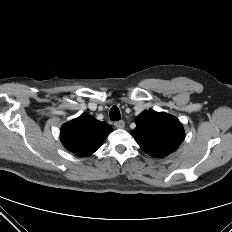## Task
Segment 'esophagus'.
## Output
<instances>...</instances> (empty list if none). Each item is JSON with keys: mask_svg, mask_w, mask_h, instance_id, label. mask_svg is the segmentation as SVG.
<instances>
[{"mask_svg": "<svg viewBox=\"0 0 232 232\" xmlns=\"http://www.w3.org/2000/svg\"><path fill=\"white\" fill-rule=\"evenodd\" d=\"M114 125H115L116 128L122 129V128H124V126H125V122H124L123 120H119V121H116V122L114 123Z\"/></svg>", "mask_w": 232, "mask_h": 232, "instance_id": "34e87169", "label": "esophagus"}]
</instances>
